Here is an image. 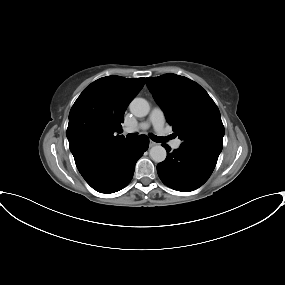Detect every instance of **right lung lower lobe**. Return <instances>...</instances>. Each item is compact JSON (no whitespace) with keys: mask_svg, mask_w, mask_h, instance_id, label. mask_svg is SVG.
Returning a JSON list of instances; mask_svg holds the SVG:
<instances>
[{"mask_svg":"<svg viewBox=\"0 0 285 285\" xmlns=\"http://www.w3.org/2000/svg\"><path fill=\"white\" fill-rule=\"evenodd\" d=\"M148 146V137L141 135L135 141L123 140L96 151L76 162V166L93 189L100 193H114L131 181L135 164Z\"/></svg>","mask_w":285,"mask_h":285,"instance_id":"98d812e1","label":"right lung lower lobe"}]
</instances>
